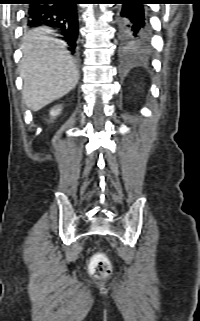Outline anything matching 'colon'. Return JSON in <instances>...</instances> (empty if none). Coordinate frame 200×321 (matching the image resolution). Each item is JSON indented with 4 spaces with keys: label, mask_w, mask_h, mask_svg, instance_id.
<instances>
[{
    "label": "colon",
    "mask_w": 200,
    "mask_h": 321,
    "mask_svg": "<svg viewBox=\"0 0 200 321\" xmlns=\"http://www.w3.org/2000/svg\"><path fill=\"white\" fill-rule=\"evenodd\" d=\"M111 266L104 255H97L92 262V272L97 277H103L110 273Z\"/></svg>",
    "instance_id": "5ec220e1"
}]
</instances>
